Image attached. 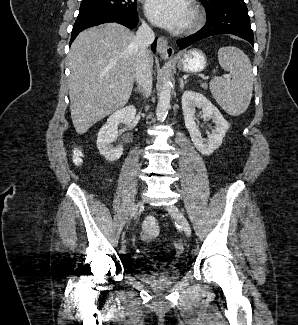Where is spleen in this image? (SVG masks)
Returning <instances> with one entry per match:
<instances>
[{
  "label": "spleen",
  "mask_w": 298,
  "mask_h": 325,
  "mask_svg": "<svg viewBox=\"0 0 298 325\" xmlns=\"http://www.w3.org/2000/svg\"><path fill=\"white\" fill-rule=\"evenodd\" d=\"M218 60L224 70L231 74V80L215 76L209 88L213 98L225 112L238 116L247 110L253 92V72L249 56L237 46H221Z\"/></svg>",
  "instance_id": "1"
}]
</instances>
